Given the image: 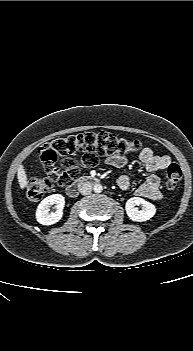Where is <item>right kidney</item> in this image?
<instances>
[{"label":"right kidney","instance_id":"1","mask_svg":"<svg viewBox=\"0 0 193 351\" xmlns=\"http://www.w3.org/2000/svg\"><path fill=\"white\" fill-rule=\"evenodd\" d=\"M55 205L56 212L50 213V207ZM65 198L61 194H52L44 198L37 207L36 220L42 225L57 223L63 216Z\"/></svg>","mask_w":193,"mask_h":351}]
</instances>
